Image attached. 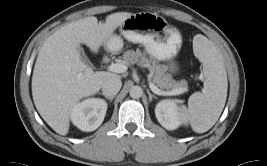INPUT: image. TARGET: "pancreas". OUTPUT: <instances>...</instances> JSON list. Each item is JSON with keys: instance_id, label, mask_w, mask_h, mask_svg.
I'll return each mask as SVG.
<instances>
[{"instance_id": "1", "label": "pancreas", "mask_w": 267, "mask_h": 166, "mask_svg": "<svg viewBox=\"0 0 267 166\" xmlns=\"http://www.w3.org/2000/svg\"><path fill=\"white\" fill-rule=\"evenodd\" d=\"M122 61L126 65L138 64L139 66L145 67L150 71L153 79V83L162 90H175L179 88H186L187 82L182 80L176 82L171 75L166 73L167 67L161 64L153 58H148L144 52L139 49L127 50L124 52Z\"/></svg>"}]
</instances>
